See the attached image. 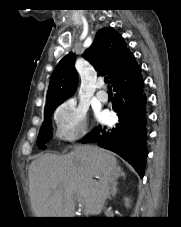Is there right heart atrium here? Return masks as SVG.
<instances>
[{"mask_svg": "<svg viewBox=\"0 0 181 227\" xmlns=\"http://www.w3.org/2000/svg\"><path fill=\"white\" fill-rule=\"evenodd\" d=\"M54 119L56 134L63 141L73 142L87 134L86 109L73 99L66 100L57 107Z\"/></svg>", "mask_w": 181, "mask_h": 227, "instance_id": "1", "label": "right heart atrium"}]
</instances>
